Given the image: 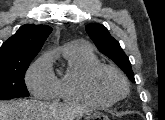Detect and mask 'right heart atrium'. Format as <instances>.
Here are the masks:
<instances>
[{"instance_id":"1","label":"right heart atrium","mask_w":165,"mask_h":120,"mask_svg":"<svg viewBox=\"0 0 165 120\" xmlns=\"http://www.w3.org/2000/svg\"><path fill=\"white\" fill-rule=\"evenodd\" d=\"M26 83L29 90L37 97H53L56 77L51 69L48 55L38 58L26 74Z\"/></svg>"}]
</instances>
